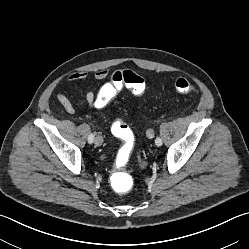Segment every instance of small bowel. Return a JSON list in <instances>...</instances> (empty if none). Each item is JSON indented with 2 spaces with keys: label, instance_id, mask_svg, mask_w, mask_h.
<instances>
[{
  "label": "small bowel",
  "instance_id": "c3829d8e",
  "mask_svg": "<svg viewBox=\"0 0 249 249\" xmlns=\"http://www.w3.org/2000/svg\"><path fill=\"white\" fill-rule=\"evenodd\" d=\"M111 70L107 68H103L95 72L93 80L96 83L104 82L108 76L110 75ZM88 78V73L86 71H79L70 75L67 79L69 83H74L78 81H83ZM117 91L113 88L110 81L103 83L100 88L96 91L93 88H90L85 94V102L88 109L95 113L97 110L101 109L106 105V100L109 97H114ZM57 100L62 106L64 112L68 115H75L76 108L73 103L69 99L67 95L64 93L57 94ZM115 124V123H114ZM113 124V125H114ZM112 125V127H113Z\"/></svg>",
  "mask_w": 249,
  "mask_h": 249
}]
</instances>
